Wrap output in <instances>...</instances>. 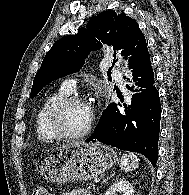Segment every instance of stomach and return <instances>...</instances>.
Masks as SVG:
<instances>
[{"label":"stomach","mask_w":189,"mask_h":195,"mask_svg":"<svg viewBox=\"0 0 189 195\" xmlns=\"http://www.w3.org/2000/svg\"><path fill=\"white\" fill-rule=\"evenodd\" d=\"M116 162V152L106 145L77 144L47 151L40 160L38 172L51 182L87 181Z\"/></svg>","instance_id":"0dacf381"}]
</instances>
